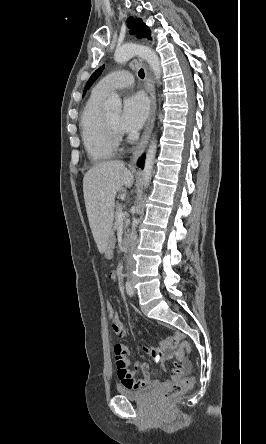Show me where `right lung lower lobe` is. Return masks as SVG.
Returning <instances> with one entry per match:
<instances>
[{
	"instance_id": "obj_1",
	"label": "right lung lower lobe",
	"mask_w": 266,
	"mask_h": 444,
	"mask_svg": "<svg viewBox=\"0 0 266 444\" xmlns=\"http://www.w3.org/2000/svg\"><path fill=\"white\" fill-rule=\"evenodd\" d=\"M144 159H145V156H142V157L139 159V161H138V166L141 167V168H143Z\"/></svg>"
}]
</instances>
